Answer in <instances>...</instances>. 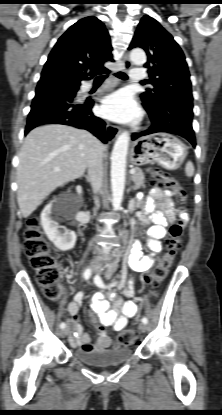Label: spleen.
Instances as JSON below:
<instances>
[{
  "label": "spleen",
  "instance_id": "obj_1",
  "mask_svg": "<svg viewBox=\"0 0 222 415\" xmlns=\"http://www.w3.org/2000/svg\"><path fill=\"white\" fill-rule=\"evenodd\" d=\"M185 173L188 177H192L194 175V166L191 161H188L186 163Z\"/></svg>",
  "mask_w": 222,
  "mask_h": 415
}]
</instances>
